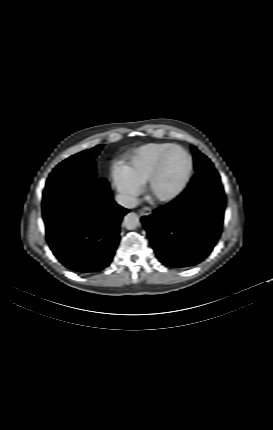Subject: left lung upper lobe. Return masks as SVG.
Returning a JSON list of instances; mask_svg holds the SVG:
<instances>
[{
    "instance_id": "5c2ea615",
    "label": "left lung upper lobe",
    "mask_w": 273,
    "mask_h": 430,
    "mask_svg": "<svg viewBox=\"0 0 273 430\" xmlns=\"http://www.w3.org/2000/svg\"><path fill=\"white\" fill-rule=\"evenodd\" d=\"M193 157H194V166L195 170L198 172L204 169H213L214 165L211 161L203 155L196 147H192Z\"/></svg>"
}]
</instances>
